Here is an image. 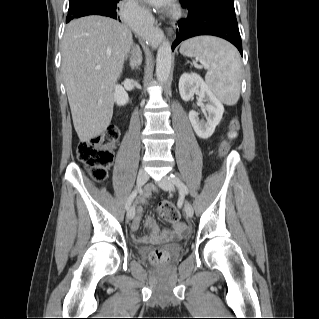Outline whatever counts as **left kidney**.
Returning <instances> with one entry per match:
<instances>
[{"label": "left kidney", "instance_id": "obj_1", "mask_svg": "<svg viewBox=\"0 0 319 319\" xmlns=\"http://www.w3.org/2000/svg\"><path fill=\"white\" fill-rule=\"evenodd\" d=\"M179 92L184 101H189L194 94H197L201 101H208V104L202 106V109L208 113L206 121L200 120L198 113L193 110L189 112V120L197 136L202 139L209 138L222 119L224 113L223 104L211 92L200 75L196 73H184L181 75Z\"/></svg>", "mask_w": 319, "mask_h": 319}]
</instances>
